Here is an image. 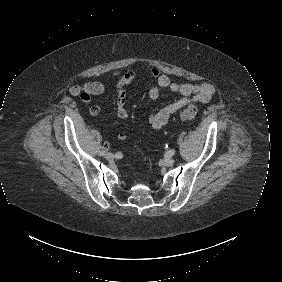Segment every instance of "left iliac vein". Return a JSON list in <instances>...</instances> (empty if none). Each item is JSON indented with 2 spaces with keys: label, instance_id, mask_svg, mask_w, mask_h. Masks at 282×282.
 Segmentation results:
<instances>
[{
  "label": "left iliac vein",
  "instance_id": "obj_1",
  "mask_svg": "<svg viewBox=\"0 0 282 282\" xmlns=\"http://www.w3.org/2000/svg\"><path fill=\"white\" fill-rule=\"evenodd\" d=\"M163 164L167 167L172 166L174 164V159L171 156H167L164 159Z\"/></svg>",
  "mask_w": 282,
  "mask_h": 282
}]
</instances>
